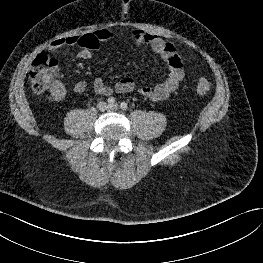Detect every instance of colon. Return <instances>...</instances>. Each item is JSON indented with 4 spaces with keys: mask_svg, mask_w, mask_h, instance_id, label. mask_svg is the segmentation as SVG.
I'll return each instance as SVG.
<instances>
[{
    "mask_svg": "<svg viewBox=\"0 0 263 263\" xmlns=\"http://www.w3.org/2000/svg\"><path fill=\"white\" fill-rule=\"evenodd\" d=\"M58 74L57 61L46 55H38L32 64V69L29 75V81L32 89L37 93H43L51 90L56 84ZM213 88L210 79L202 77L196 83V90L200 94H207Z\"/></svg>",
    "mask_w": 263,
    "mask_h": 263,
    "instance_id": "colon-1",
    "label": "colon"
}]
</instances>
